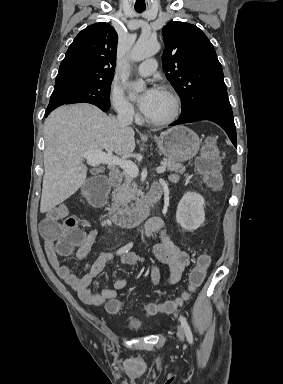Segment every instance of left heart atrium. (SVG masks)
Listing matches in <instances>:
<instances>
[{"label":"left heart atrium","mask_w":283,"mask_h":384,"mask_svg":"<svg viewBox=\"0 0 283 384\" xmlns=\"http://www.w3.org/2000/svg\"><path fill=\"white\" fill-rule=\"evenodd\" d=\"M161 94V90L158 87H148L144 90L138 98V106L143 114L150 112L151 108L157 101Z\"/></svg>","instance_id":"obj_1"}]
</instances>
